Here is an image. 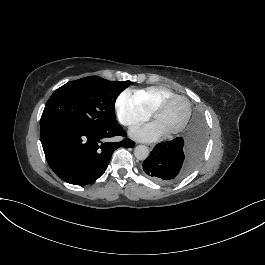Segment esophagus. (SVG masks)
<instances>
[{
	"label": "esophagus",
	"mask_w": 265,
	"mask_h": 265,
	"mask_svg": "<svg viewBox=\"0 0 265 265\" xmlns=\"http://www.w3.org/2000/svg\"><path fill=\"white\" fill-rule=\"evenodd\" d=\"M147 147L149 148V150H152L154 148V144H149L147 145Z\"/></svg>",
	"instance_id": "34e87169"
}]
</instances>
